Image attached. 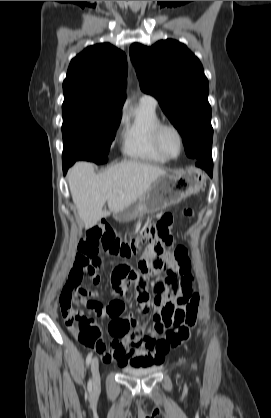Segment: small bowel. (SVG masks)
<instances>
[{
  "label": "small bowel",
  "mask_w": 271,
  "mask_h": 418,
  "mask_svg": "<svg viewBox=\"0 0 271 418\" xmlns=\"http://www.w3.org/2000/svg\"><path fill=\"white\" fill-rule=\"evenodd\" d=\"M164 243L154 241L149 244L145 258L138 264V269L131 272L126 262H119L111 272L112 296L102 302L101 299L87 300L82 298L80 304L91 310L92 314H100L99 322L104 323L109 339H113L109 348L104 345L97 352L103 362H115L120 366L149 367L160 365L164 361L169 348L158 349L157 344L162 336L157 328L162 326V312L165 308L175 310L187 301V291H192L191 277L187 281L176 283L174 275L179 272V265L174 257L166 254ZM155 261H154V260ZM101 266H98L99 269ZM164 276L155 285L156 295L153 302L147 290L148 277L154 274ZM97 274V273H96ZM99 281V276L94 283ZM136 288V308L140 313H147L154 308V326H140L139 319H131L128 312L129 285ZM99 297L98 292L89 293ZM132 328H135L132 330Z\"/></svg>",
  "instance_id": "c3829d8e"
}]
</instances>
